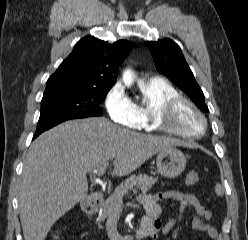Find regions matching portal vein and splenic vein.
I'll use <instances>...</instances> for the list:
<instances>
[{"mask_svg": "<svg viewBox=\"0 0 248 240\" xmlns=\"http://www.w3.org/2000/svg\"><path fill=\"white\" fill-rule=\"evenodd\" d=\"M107 166H108V162H105V163L99 165V166L97 167V170H96V175H97V176H102V175L104 174V172H105ZM122 205H123V204H121L120 206H122ZM120 206H119V207H120Z\"/></svg>", "mask_w": 248, "mask_h": 240, "instance_id": "portal-vein-and-splenic-vein-1", "label": "portal vein and splenic vein"}]
</instances>
